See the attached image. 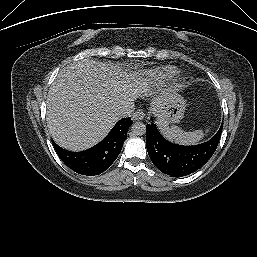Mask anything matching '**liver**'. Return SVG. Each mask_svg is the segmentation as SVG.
Masks as SVG:
<instances>
[{"instance_id":"liver-1","label":"liver","mask_w":257,"mask_h":257,"mask_svg":"<svg viewBox=\"0 0 257 257\" xmlns=\"http://www.w3.org/2000/svg\"><path fill=\"white\" fill-rule=\"evenodd\" d=\"M147 80L118 65L90 58L62 69L47 98V124L54 141L71 151L101 141L119 120L117 110L148 93ZM165 91L151 102L163 100Z\"/></svg>"}]
</instances>
